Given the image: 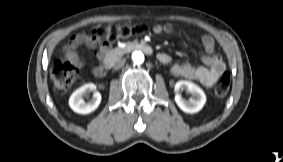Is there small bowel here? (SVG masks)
I'll list each match as a JSON object with an SVG mask.
<instances>
[{
  "label": "small bowel",
  "instance_id": "small-bowel-1",
  "mask_svg": "<svg viewBox=\"0 0 283 162\" xmlns=\"http://www.w3.org/2000/svg\"><path fill=\"white\" fill-rule=\"evenodd\" d=\"M173 26L171 24L157 25L154 27L155 34L171 33ZM206 55L202 57L203 66L195 67L189 63H175L172 65L171 71L177 76H181L188 79H193L204 86H212L225 72V64L222 59L214 54L215 41L210 35H203L201 38ZM100 40L84 34L74 35L70 41L64 47L65 57L68 62L80 68L82 61L77 53V49L80 46H85L89 49H96L99 47L98 60L105 62L111 54L108 44H102L100 46ZM159 60L164 64L171 63V57L166 53H160ZM110 74L109 69L105 64L100 63L92 68V75L97 78H106Z\"/></svg>",
  "mask_w": 283,
  "mask_h": 162
}]
</instances>
